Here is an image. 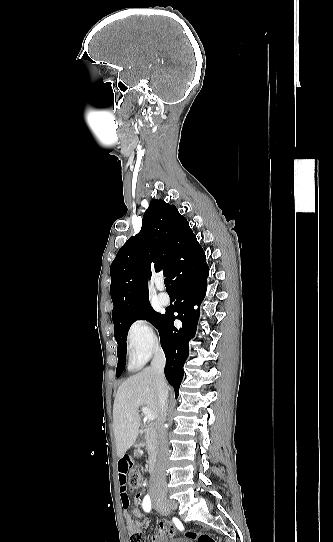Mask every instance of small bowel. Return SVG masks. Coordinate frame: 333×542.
<instances>
[{
  "instance_id": "c3829d8e",
  "label": "small bowel",
  "mask_w": 333,
  "mask_h": 542,
  "mask_svg": "<svg viewBox=\"0 0 333 542\" xmlns=\"http://www.w3.org/2000/svg\"><path fill=\"white\" fill-rule=\"evenodd\" d=\"M128 466H129V460L127 458L120 459L119 464H118V483H119L120 502L123 508L124 520L126 522L128 532L133 533L135 531L140 530L142 526V524L139 521H137V519H140L143 517L144 510L139 507L143 503V497H142V494L140 493L136 494L134 497V502H135L136 507L134 508L130 507V500H129L127 487H126ZM143 483L147 485L149 482L145 480ZM144 484L141 486L143 489L146 487ZM161 526L165 529H168L170 535L175 534V530L172 527H169L167 523H161ZM153 540L154 542H160V536L159 535L154 536Z\"/></svg>"
}]
</instances>
